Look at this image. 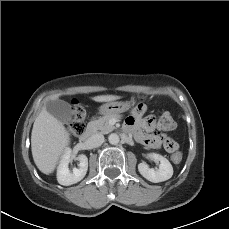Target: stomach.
Segmentation results:
<instances>
[{
    "label": "stomach",
    "instance_id": "0dacf381",
    "mask_svg": "<svg viewBox=\"0 0 229 229\" xmlns=\"http://www.w3.org/2000/svg\"><path fill=\"white\" fill-rule=\"evenodd\" d=\"M138 98V97H137ZM134 97L131 101L109 102L99 107V113L102 115L119 114L129 110L137 99Z\"/></svg>",
    "mask_w": 229,
    "mask_h": 229
}]
</instances>
